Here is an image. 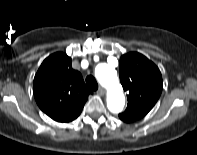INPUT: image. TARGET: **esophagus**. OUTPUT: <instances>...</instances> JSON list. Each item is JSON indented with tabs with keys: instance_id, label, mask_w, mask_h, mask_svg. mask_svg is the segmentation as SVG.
I'll return each instance as SVG.
<instances>
[{
	"instance_id": "obj_1",
	"label": "esophagus",
	"mask_w": 197,
	"mask_h": 155,
	"mask_svg": "<svg viewBox=\"0 0 197 155\" xmlns=\"http://www.w3.org/2000/svg\"><path fill=\"white\" fill-rule=\"evenodd\" d=\"M97 93L100 95V96H104L105 95V90L104 88L100 87L97 91Z\"/></svg>"
}]
</instances>
